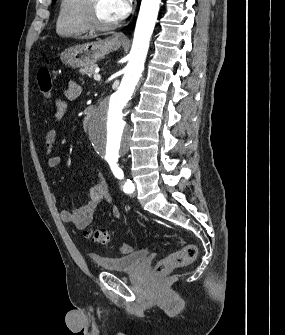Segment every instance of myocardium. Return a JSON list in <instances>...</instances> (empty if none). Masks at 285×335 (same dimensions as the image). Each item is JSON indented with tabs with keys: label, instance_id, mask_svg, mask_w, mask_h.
Listing matches in <instances>:
<instances>
[{
	"label": "myocardium",
	"instance_id": "myocardium-1",
	"mask_svg": "<svg viewBox=\"0 0 285 335\" xmlns=\"http://www.w3.org/2000/svg\"><path fill=\"white\" fill-rule=\"evenodd\" d=\"M88 29L94 33H106L116 27V23L103 24L97 18V1H87Z\"/></svg>",
	"mask_w": 285,
	"mask_h": 335
}]
</instances>
